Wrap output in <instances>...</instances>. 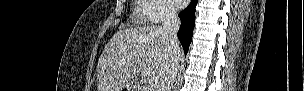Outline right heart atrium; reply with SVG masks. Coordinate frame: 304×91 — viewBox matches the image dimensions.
<instances>
[{
  "mask_svg": "<svg viewBox=\"0 0 304 91\" xmlns=\"http://www.w3.org/2000/svg\"><path fill=\"white\" fill-rule=\"evenodd\" d=\"M144 6L142 19L146 22L158 23L175 16L174 7L167 0H142Z\"/></svg>",
  "mask_w": 304,
  "mask_h": 91,
  "instance_id": "1",
  "label": "right heart atrium"
}]
</instances>
